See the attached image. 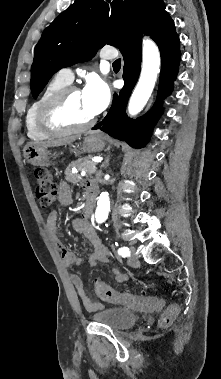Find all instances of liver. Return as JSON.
I'll return each mask as SVG.
<instances>
[{
    "label": "liver",
    "instance_id": "liver-1",
    "mask_svg": "<svg viewBox=\"0 0 221 379\" xmlns=\"http://www.w3.org/2000/svg\"><path fill=\"white\" fill-rule=\"evenodd\" d=\"M78 137L79 136H71V137L62 138L59 140H53V141H48V142H39V143H30V144L35 145V146L45 147V148L62 146V145H66V144H70V143L74 142Z\"/></svg>",
    "mask_w": 221,
    "mask_h": 379
}]
</instances>
